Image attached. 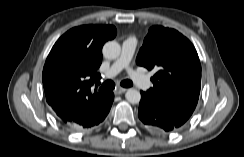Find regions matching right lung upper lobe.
<instances>
[{
  "instance_id": "right-lung-upper-lobe-1",
  "label": "right lung upper lobe",
  "mask_w": 244,
  "mask_h": 157,
  "mask_svg": "<svg viewBox=\"0 0 244 157\" xmlns=\"http://www.w3.org/2000/svg\"><path fill=\"white\" fill-rule=\"evenodd\" d=\"M112 25H84L62 35L50 51L43 69L46 100L57 118L76 121L99 107L107 94L93 93L100 84L97 69L102 62V47L116 36Z\"/></svg>"
}]
</instances>
